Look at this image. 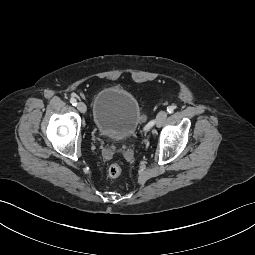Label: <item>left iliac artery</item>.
Listing matches in <instances>:
<instances>
[{
    "instance_id": "44dca946",
    "label": "left iliac artery",
    "mask_w": 255,
    "mask_h": 255,
    "mask_svg": "<svg viewBox=\"0 0 255 255\" xmlns=\"http://www.w3.org/2000/svg\"><path fill=\"white\" fill-rule=\"evenodd\" d=\"M175 108H176L175 105L168 106V107H167V112L171 114V113L174 112ZM154 123H155L154 121L149 122V123L146 125L145 130H149V129L154 125Z\"/></svg>"
}]
</instances>
